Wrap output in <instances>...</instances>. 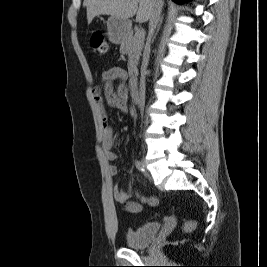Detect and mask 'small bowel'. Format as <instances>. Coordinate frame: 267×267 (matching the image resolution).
Returning <instances> with one entry per match:
<instances>
[{"label": "small bowel", "instance_id": "obj_1", "mask_svg": "<svg viewBox=\"0 0 267 267\" xmlns=\"http://www.w3.org/2000/svg\"><path fill=\"white\" fill-rule=\"evenodd\" d=\"M126 79L127 73L124 69L113 67L102 73L101 84L94 87L92 90L93 98L97 103L100 113L103 129L102 146L108 161H115L117 159V154L114 151V131L109 124L108 114L103 104V97L105 98L108 107L127 113L129 111V104L127 87L125 84ZM115 81H118L119 83L115 85ZM108 170L111 176H116L118 173V169L115 165H110ZM129 196L130 193L128 189H121L118 185L113 187V197L115 201L122 204L125 203L126 210L130 213L141 212L142 204L156 206L159 203V199L155 195L143 196L137 193L139 201H129ZM173 220V218L169 219L170 222H173Z\"/></svg>", "mask_w": 267, "mask_h": 267}]
</instances>
